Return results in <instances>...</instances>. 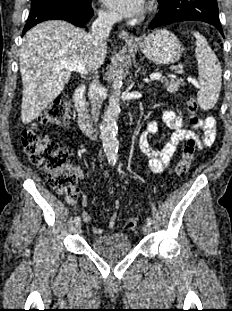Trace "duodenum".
<instances>
[{
    "label": "duodenum",
    "mask_w": 232,
    "mask_h": 311,
    "mask_svg": "<svg viewBox=\"0 0 232 311\" xmlns=\"http://www.w3.org/2000/svg\"><path fill=\"white\" fill-rule=\"evenodd\" d=\"M85 93H86L85 85H79L74 90L72 94V99L74 102L77 120L80 127L86 134L92 135L94 131L93 120L85 104Z\"/></svg>",
    "instance_id": "duodenum-1"
}]
</instances>
